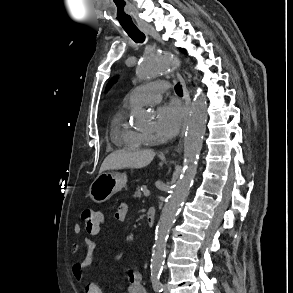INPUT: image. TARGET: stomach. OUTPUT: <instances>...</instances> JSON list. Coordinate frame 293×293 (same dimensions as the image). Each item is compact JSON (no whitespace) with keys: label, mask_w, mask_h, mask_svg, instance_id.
Returning a JSON list of instances; mask_svg holds the SVG:
<instances>
[{"label":"stomach","mask_w":293,"mask_h":293,"mask_svg":"<svg viewBox=\"0 0 293 293\" xmlns=\"http://www.w3.org/2000/svg\"><path fill=\"white\" fill-rule=\"evenodd\" d=\"M126 183L125 174L115 172L99 174L89 188V196L95 203H103L121 191Z\"/></svg>","instance_id":"1"}]
</instances>
